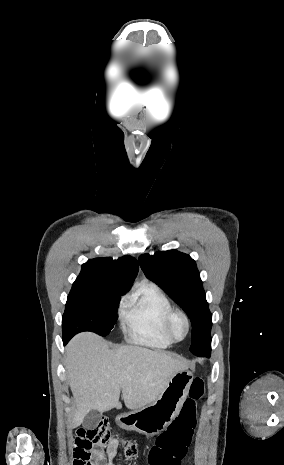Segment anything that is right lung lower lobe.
I'll use <instances>...</instances> for the list:
<instances>
[{"instance_id": "obj_1", "label": "right lung lower lobe", "mask_w": 284, "mask_h": 465, "mask_svg": "<svg viewBox=\"0 0 284 465\" xmlns=\"http://www.w3.org/2000/svg\"><path fill=\"white\" fill-rule=\"evenodd\" d=\"M72 337H63V343L66 345Z\"/></svg>"}]
</instances>
